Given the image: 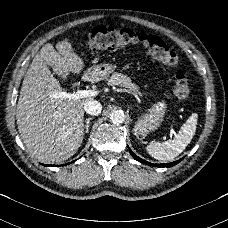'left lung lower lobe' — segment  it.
<instances>
[{"instance_id": "1", "label": "left lung lower lobe", "mask_w": 228, "mask_h": 228, "mask_svg": "<svg viewBox=\"0 0 228 228\" xmlns=\"http://www.w3.org/2000/svg\"><path fill=\"white\" fill-rule=\"evenodd\" d=\"M131 155L133 156L134 159H136L137 161L141 162V163H144V164H147L149 166H155V167H172L176 164H178L182 159L178 160V161H175V162H172V163H168V164H153V163H149L141 158H139L137 155H135L130 149H129Z\"/></svg>"}]
</instances>
